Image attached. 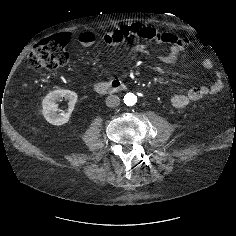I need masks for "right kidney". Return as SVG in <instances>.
Instances as JSON below:
<instances>
[{"instance_id": "ca27d5eb", "label": "right kidney", "mask_w": 236, "mask_h": 236, "mask_svg": "<svg viewBox=\"0 0 236 236\" xmlns=\"http://www.w3.org/2000/svg\"><path fill=\"white\" fill-rule=\"evenodd\" d=\"M61 98H64L65 100L69 101L68 111L63 113H57V111L59 110L57 102L60 101ZM76 101L77 94L74 91L54 90L42 100L43 116L46 121L52 125H63L69 121Z\"/></svg>"}]
</instances>
